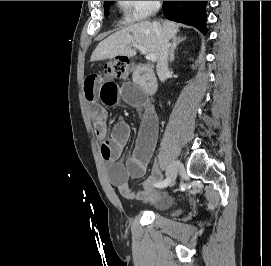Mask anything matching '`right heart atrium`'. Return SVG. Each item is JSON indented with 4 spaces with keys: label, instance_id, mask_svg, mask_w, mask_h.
<instances>
[{
    "label": "right heart atrium",
    "instance_id": "d8ad5b80",
    "mask_svg": "<svg viewBox=\"0 0 271 266\" xmlns=\"http://www.w3.org/2000/svg\"><path fill=\"white\" fill-rule=\"evenodd\" d=\"M125 18L131 23L142 22L155 13L160 1H120Z\"/></svg>",
    "mask_w": 271,
    "mask_h": 266
}]
</instances>
